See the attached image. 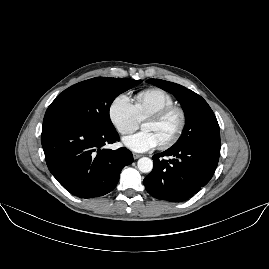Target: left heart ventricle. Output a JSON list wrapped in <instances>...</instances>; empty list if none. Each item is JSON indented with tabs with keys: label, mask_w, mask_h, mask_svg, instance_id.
<instances>
[{
	"label": "left heart ventricle",
	"mask_w": 269,
	"mask_h": 269,
	"mask_svg": "<svg viewBox=\"0 0 269 269\" xmlns=\"http://www.w3.org/2000/svg\"><path fill=\"white\" fill-rule=\"evenodd\" d=\"M178 125L179 117L172 113L163 118L146 119L142 127L144 131L152 132L159 145H163L173 136Z\"/></svg>",
	"instance_id": "obj_1"
}]
</instances>
